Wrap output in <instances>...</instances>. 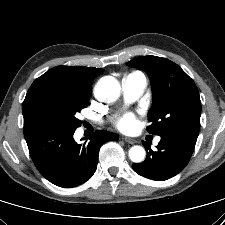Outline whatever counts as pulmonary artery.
I'll list each match as a JSON object with an SVG mask.
<instances>
[{
	"instance_id": "pulmonary-artery-1",
	"label": "pulmonary artery",
	"mask_w": 225,
	"mask_h": 225,
	"mask_svg": "<svg viewBox=\"0 0 225 225\" xmlns=\"http://www.w3.org/2000/svg\"><path fill=\"white\" fill-rule=\"evenodd\" d=\"M147 86V79L141 72H134L122 79V91L127 101H134L139 98ZM160 138L155 139L158 143Z\"/></svg>"
}]
</instances>
